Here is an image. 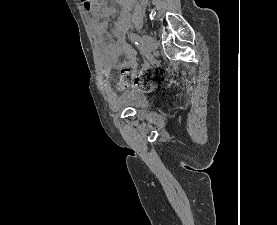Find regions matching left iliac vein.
Masks as SVG:
<instances>
[{
    "mask_svg": "<svg viewBox=\"0 0 277 225\" xmlns=\"http://www.w3.org/2000/svg\"><path fill=\"white\" fill-rule=\"evenodd\" d=\"M142 44L149 55L153 54L156 50V40L150 35H142Z\"/></svg>",
    "mask_w": 277,
    "mask_h": 225,
    "instance_id": "obj_1",
    "label": "left iliac vein"
}]
</instances>
